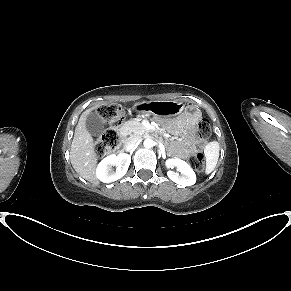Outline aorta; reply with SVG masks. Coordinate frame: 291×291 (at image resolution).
<instances>
[{
  "instance_id": "1",
  "label": "aorta",
  "mask_w": 291,
  "mask_h": 291,
  "mask_svg": "<svg viewBox=\"0 0 291 291\" xmlns=\"http://www.w3.org/2000/svg\"><path fill=\"white\" fill-rule=\"evenodd\" d=\"M145 148H151L154 145V141L150 138H147L143 142Z\"/></svg>"
}]
</instances>
